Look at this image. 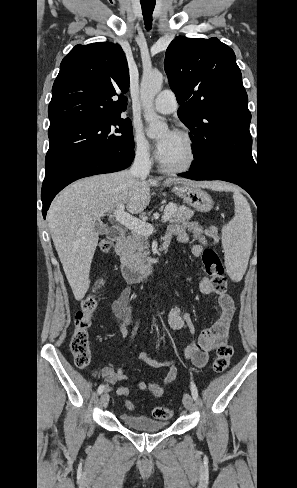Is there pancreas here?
Masks as SVG:
<instances>
[{
	"label": "pancreas",
	"instance_id": "cf45deb5",
	"mask_svg": "<svg viewBox=\"0 0 297 488\" xmlns=\"http://www.w3.org/2000/svg\"><path fill=\"white\" fill-rule=\"evenodd\" d=\"M174 208V211L170 213L171 222L190 227L189 220L194 215V211L188 207H181L176 204H174ZM194 225H197V223ZM199 231L203 232V230ZM117 248L122 262L133 269H137L145 264L149 256L148 236L132 232L122 243L117 245Z\"/></svg>",
	"mask_w": 297,
	"mask_h": 488
}]
</instances>
